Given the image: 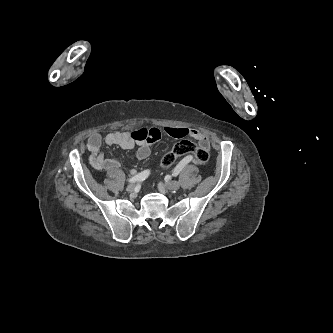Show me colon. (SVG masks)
<instances>
[{"instance_id":"obj_1","label":"colon","mask_w":333,"mask_h":333,"mask_svg":"<svg viewBox=\"0 0 333 333\" xmlns=\"http://www.w3.org/2000/svg\"><path fill=\"white\" fill-rule=\"evenodd\" d=\"M192 155L194 161L197 164H205L209 159V152L208 150L196 146L190 140H182L176 144L174 149L165 155L161 161V166L163 169L170 168L175 162L177 157L183 155Z\"/></svg>"}]
</instances>
